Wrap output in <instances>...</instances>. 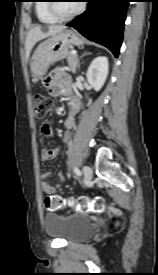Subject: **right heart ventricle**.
Masks as SVG:
<instances>
[{
  "mask_svg": "<svg viewBox=\"0 0 158 275\" xmlns=\"http://www.w3.org/2000/svg\"><path fill=\"white\" fill-rule=\"evenodd\" d=\"M48 2L50 1L39 0L36 4V14L39 21H41L42 23L53 24L58 22V19H56L49 11Z\"/></svg>",
  "mask_w": 158,
  "mask_h": 275,
  "instance_id": "e07e8e85",
  "label": "right heart ventricle"
}]
</instances>
